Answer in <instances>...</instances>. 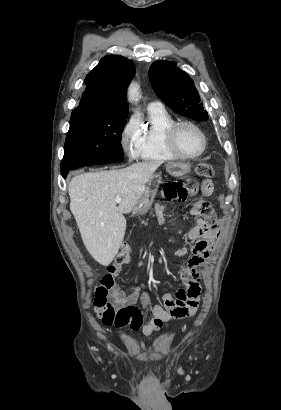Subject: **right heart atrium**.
Listing matches in <instances>:
<instances>
[{
	"mask_svg": "<svg viewBox=\"0 0 281 410\" xmlns=\"http://www.w3.org/2000/svg\"><path fill=\"white\" fill-rule=\"evenodd\" d=\"M140 134V121L136 115H132L126 120L120 132L121 147L130 158L137 157Z\"/></svg>",
	"mask_w": 281,
	"mask_h": 410,
	"instance_id": "1",
	"label": "right heart atrium"
}]
</instances>
